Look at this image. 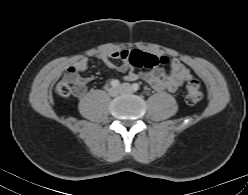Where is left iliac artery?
I'll list each match as a JSON object with an SVG mask.
<instances>
[{"mask_svg":"<svg viewBox=\"0 0 248 195\" xmlns=\"http://www.w3.org/2000/svg\"><path fill=\"white\" fill-rule=\"evenodd\" d=\"M132 89L133 91H138L139 90V85L137 83L132 84Z\"/></svg>","mask_w":248,"mask_h":195,"instance_id":"obj_1","label":"left iliac artery"}]
</instances>
